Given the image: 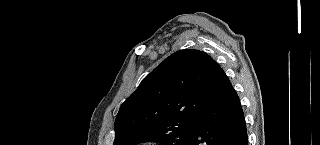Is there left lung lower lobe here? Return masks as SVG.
I'll return each mask as SVG.
<instances>
[{"label": "left lung lower lobe", "mask_w": 320, "mask_h": 145, "mask_svg": "<svg viewBox=\"0 0 320 145\" xmlns=\"http://www.w3.org/2000/svg\"><path fill=\"white\" fill-rule=\"evenodd\" d=\"M207 104L185 145H247L244 114L236 91L218 65L207 83Z\"/></svg>", "instance_id": "obj_1"}]
</instances>
